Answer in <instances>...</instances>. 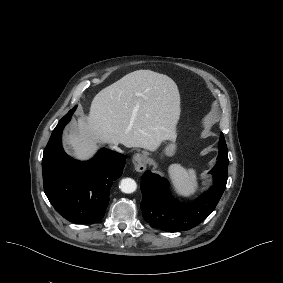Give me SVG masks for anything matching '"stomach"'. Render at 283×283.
Segmentation results:
<instances>
[{"label": "stomach", "instance_id": "1", "mask_svg": "<svg viewBox=\"0 0 283 283\" xmlns=\"http://www.w3.org/2000/svg\"><path fill=\"white\" fill-rule=\"evenodd\" d=\"M178 145L175 140L171 137L168 142L164 145L160 154V162L163 164L168 157H174L177 154Z\"/></svg>", "mask_w": 283, "mask_h": 283}]
</instances>
